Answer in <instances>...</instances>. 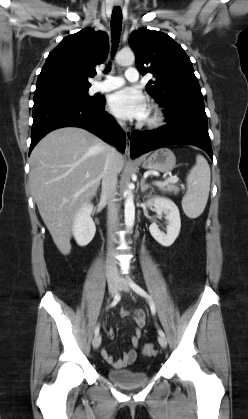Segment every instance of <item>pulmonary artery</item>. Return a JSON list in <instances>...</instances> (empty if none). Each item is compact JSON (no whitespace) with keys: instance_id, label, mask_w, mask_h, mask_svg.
<instances>
[{"instance_id":"pulmonary-artery-1","label":"pulmonary artery","mask_w":248,"mask_h":419,"mask_svg":"<svg viewBox=\"0 0 248 419\" xmlns=\"http://www.w3.org/2000/svg\"><path fill=\"white\" fill-rule=\"evenodd\" d=\"M104 80L95 84L93 87L94 92H107L117 88H120L124 83L125 79L130 82H136L139 79V74L136 67H128L124 77L106 75Z\"/></svg>"}]
</instances>
